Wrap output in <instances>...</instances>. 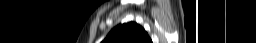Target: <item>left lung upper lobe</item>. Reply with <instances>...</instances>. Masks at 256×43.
<instances>
[{
    "label": "left lung upper lobe",
    "instance_id": "obj_1",
    "mask_svg": "<svg viewBox=\"0 0 256 43\" xmlns=\"http://www.w3.org/2000/svg\"><path fill=\"white\" fill-rule=\"evenodd\" d=\"M102 43H152L147 32L137 23L119 24Z\"/></svg>",
    "mask_w": 256,
    "mask_h": 43
}]
</instances>
